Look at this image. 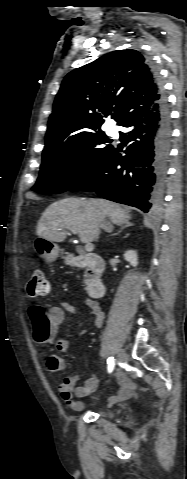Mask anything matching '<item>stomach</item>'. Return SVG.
Listing matches in <instances>:
<instances>
[{
  "mask_svg": "<svg viewBox=\"0 0 187 479\" xmlns=\"http://www.w3.org/2000/svg\"><path fill=\"white\" fill-rule=\"evenodd\" d=\"M34 248L45 262H52L59 256V246L43 237L34 240Z\"/></svg>",
  "mask_w": 187,
  "mask_h": 479,
  "instance_id": "obj_1",
  "label": "stomach"
}]
</instances>
